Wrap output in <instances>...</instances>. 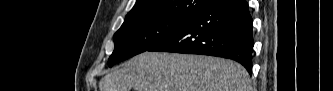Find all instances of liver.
<instances>
[{"label": "liver", "instance_id": "liver-1", "mask_svg": "<svg viewBox=\"0 0 333 91\" xmlns=\"http://www.w3.org/2000/svg\"><path fill=\"white\" fill-rule=\"evenodd\" d=\"M251 91L246 69L232 60L144 52L105 75L100 91Z\"/></svg>", "mask_w": 333, "mask_h": 91}]
</instances>
